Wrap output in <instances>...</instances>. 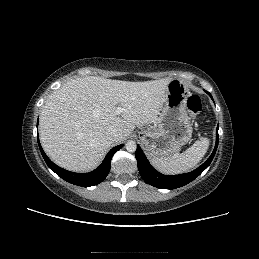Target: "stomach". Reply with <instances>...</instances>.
I'll list each match as a JSON object with an SVG mask.
<instances>
[{"label":"stomach","instance_id":"0dacf381","mask_svg":"<svg viewBox=\"0 0 259 259\" xmlns=\"http://www.w3.org/2000/svg\"><path fill=\"white\" fill-rule=\"evenodd\" d=\"M189 95L182 80L172 79L168 84L157 124L140 132V140L149 158L176 154L190 140L193 129L186 111Z\"/></svg>","mask_w":259,"mask_h":259}]
</instances>
